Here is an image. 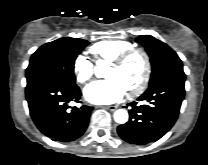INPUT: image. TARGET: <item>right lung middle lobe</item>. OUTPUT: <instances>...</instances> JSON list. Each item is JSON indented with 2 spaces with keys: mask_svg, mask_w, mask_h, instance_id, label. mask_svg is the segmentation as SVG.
Returning a JSON list of instances; mask_svg holds the SVG:
<instances>
[{
  "mask_svg": "<svg viewBox=\"0 0 208 165\" xmlns=\"http://www.w3.org/2000/svg\"><path fill=\"white\" fill-rule=\"evenodd\" d=\"M88 44L82 39L60 38L41 46L32 54L26 69V88L43 80L75 85L74 62Z\"/></svg>",
  "mask_w": 208,
  "mask_h": 165,
  "instance_id": "obj_1",
  "label": "right lung middle lobe"
}]
</instances>
